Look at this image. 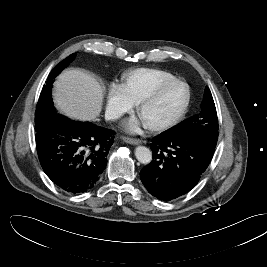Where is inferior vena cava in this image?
I'll list each match as a JSON object with an SVG mask.
<instances>
[{"label":"inferior vena cava","mask_w":267,"mask_h":267,"mask_svg":"<svg viewBox=\"0 0 267 267\" xmlns=\"http://www.w3.org/2000/svg\"><path fill=\"white\" fill-rule=\"evenodd\" d=\"M121 116L119 112L116 111H108L105 114V119L106 120H113V119H118Z\"/></svg>","instance_id":"1"}]
</instances>
